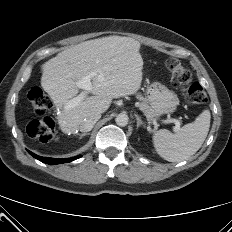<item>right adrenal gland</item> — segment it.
<instances>
[{
	"instance_id": "1",
	"label": "right adrenal gland",
	"mask_w": 232,
	"mask_h": 232,
	"mask_svg": "<svg viewBox=\"0 0 232 232\" xmlns=\"http://www.w3.org/2000/svg\"><path fill=\"white\" fill-rule=\"evenodd\" d=\"M90 133H82V134H78L79 135V139H82V137L89 135Z\"/></svg>"
}]
</instances>
